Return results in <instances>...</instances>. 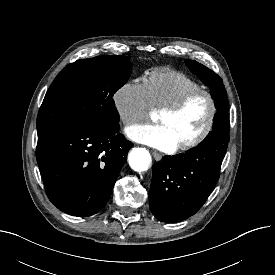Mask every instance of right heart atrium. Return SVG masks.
Instances as JSON below:
<instances>
[{"mask_svg": "<svg viewBox=\"0 0 275 275\" xmlns=\"http://www.w3.org/2000/svg\"><path fill=\"white\" fill-rule=\"evenodd\" d=\"M113 102L126 126L145 120L153 109L144 83L136 80L122 84L116 90Z\"/></svg>", "mask_w": 275, "mask_h": 275, "instance_id": "d8ad5b80", "label": "right heart atrium"}]
</instances>
